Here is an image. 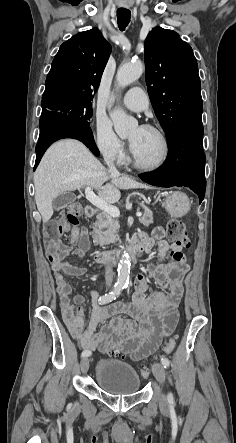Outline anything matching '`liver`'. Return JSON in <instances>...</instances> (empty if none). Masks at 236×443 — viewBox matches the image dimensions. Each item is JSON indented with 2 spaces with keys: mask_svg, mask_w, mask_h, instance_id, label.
<instances>
[{
  "mask_svg": "<svg viewBox=\"0 0 236 443\" xmlns=\"http://www.w3.org/2000/svg\"><path fill=\"white\" fill-rule=\"evenodd\" d=\"M34 185L43 223L52 217V202L60 193L86 186L96 189L101 199L112 204L119 201L120 189L148 188L131 177L109 173L84 144L73 139L50 146L35 171Z\"/></svg>",
  "mask_w": 236,
  "mask_h": 443,
  "instance_id": "liver-1",
  "label": "liver"
}]
</instances>
